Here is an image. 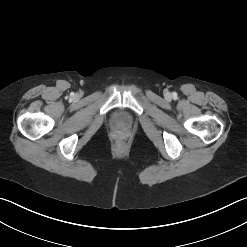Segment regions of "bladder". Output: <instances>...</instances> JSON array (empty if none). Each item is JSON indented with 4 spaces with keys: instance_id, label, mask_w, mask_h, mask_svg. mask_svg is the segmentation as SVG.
<instances>
[{
    "instance_id": "obj_1",
    "label": "bladder",
    "mask_w": 247,
    "mask_h": 247,
    "mask_svg": "<svg viewBox=\"0 0 247 247\" xmlns=\"http://www.w3.org/2000/svg\"><path fill=\"white\" fill-rule=\"evenodd\" d=\"M112 123L116 128L124 129L132 124V118L126 111L118 110L112 115Z\"/></svg>"
}]
</instances>
